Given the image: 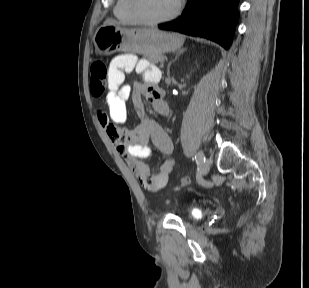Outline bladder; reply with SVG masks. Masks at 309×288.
Returning <instances> with one entry per match:
<instances>
[{"instance_id":"bladder-1","label":"bladder","mask_w":309,"mask_h":288,"mask_svg":"<svg viewBox=\"0 0 309 288\" xmlns=\"http://www.w3.org/2000/svg\"><path fill=\"white\" fill-rule=\"evenodd\" d=\"M203 216V212L200 210H191L189 212V217L193 220H199Z\"/></svg>"}]
</instances>
